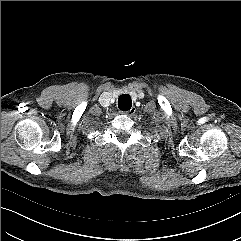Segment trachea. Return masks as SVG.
Returning a JSON list of instances; mask_svg holds the SVG:
<instances>
[{"instance_id": "3493384b", "label": "trachea", "mask_w": 241, "mask_h": 241, "mask_svg": "<svg viewBox=\"0 0 241 241\" xmlns=\"http://www.w3.org/2000/svg\"><path fill=\"white\" fill-rule=\"evenodd\" d=\"M132 107V100L128 94H122L118 98V108L122 111H128Z\"/></svg>"}]
</instances>
